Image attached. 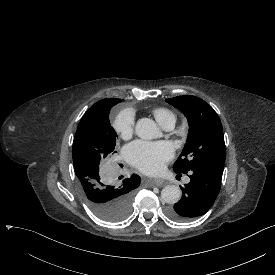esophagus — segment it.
<instances>
[{
	"mask_svg": "<svg viewBox=\"0 0 275 275\" xmlns=\"http://www.w3.org/2000/svg\"><path fill=\"white\" fill-rule=\"evenodd\" d=\"M153 183L156 186H163L165 184V181L163 179H154Z\"/></svg>",
	"mask_w": 275,
	"mask_h": 275,
	"instance_id": "1",
	"label": "esophagus"
}]
</instances>
